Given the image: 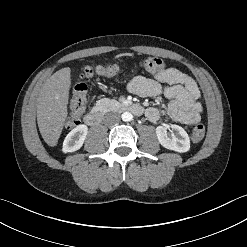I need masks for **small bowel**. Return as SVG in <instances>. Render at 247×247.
Returning a JSON list of instances; mask_svg holds the SVG:
<instances>
[{"mask_svg": "<svg viewBox=\"0 0 247 247\" xmlns=\"http://www.w3.org/2000/svg\"><path fill=\"white\" fill-rule=\"evenodd\" d=\"M128 90L138 96L165 97L168 114L177 122L194 125L200 121L202 107L198 87L191 77L178 69H165L152 78L137 76L129 82ZM146 117L156 122L161 113L157 108H149Z\"/></svg>", "mask_w": 247, "mask_h": 247, "instance_id": "1", "label": "small bowel"}]
</instances>
